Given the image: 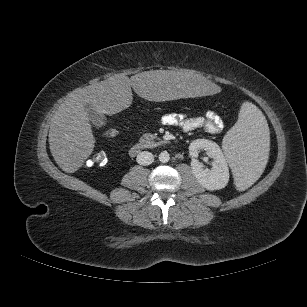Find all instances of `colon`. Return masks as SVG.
Returning a JSON list of instances; mask_svg holds the SVG:
<instances>
[{"mask_svg":"<svg viewBox=\"0 0 307 307\" xmlns=\"http://www.w3.org/2000/svg\"><path fill=\"white\" fill-rule=\"evenodd\" d=\"M105 135L109 138H115L119 135V131L116 128H108L105 130ZM108 163V156L103 151H97L92 153L86 160V165L90 168L102 167Z\"/></svg>","mask_w":307,"mask_h":307,"instance_id":"obj_1","label":"colon"}]
</instances>
